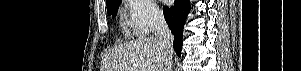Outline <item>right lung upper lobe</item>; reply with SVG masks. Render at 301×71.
<instances>
[{
    "instance_id": "obj_1",
    "label": "right lung upper lobe",
    "mask_w": 301,
    "mask_h": 71,
    "mask_svg": "<svg viewBox=\"0 0 301 71\" xmlns=\"http://www.w3.org/2000/svg\"><path fill=\"white\" fill-rule=\"evenodd\" d=\"M111 1H113V0H106V3H109V2H111Z\"/></svg>"
}]
</instances>
